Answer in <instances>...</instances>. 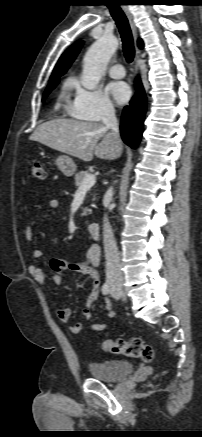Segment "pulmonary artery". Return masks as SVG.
<instances>
[{
    "label": "pulmonary artery",
    "mask_w": 202,
    "mask_h": 437,
    "mask_svg": "<svg viewBox=\"0 0 202 437\" xmlns=\"http://www.w3.org/2000/svg\"><path fill=\"white\" fill-rule=\"evenodd\" d=\"M109 75L112 78L120 79L125 76V69L121 64H115L109 68Z\"/></svg>",
    "instance_id": "1"
}]
</instances>
